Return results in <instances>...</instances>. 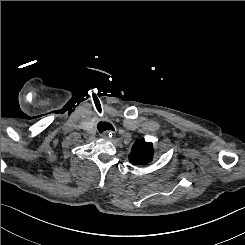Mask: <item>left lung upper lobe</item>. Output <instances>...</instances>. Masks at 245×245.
<instances>
[{"instance_id":"obj_1","label":"left lung upper lobe","mask_w":245,"mask_h":245,"mask_svg":"<svg viewBox=\"0 0 245 245\" xmlns=\"http://www.w3.org/2000/svg\"><path fill=\"white\" fill-rule=\"evenodd\" d=\"M154 148L150 142L138 139L132 146L129 162L133 165H146L153 160Z\"/></svg>"}]
</instances>
